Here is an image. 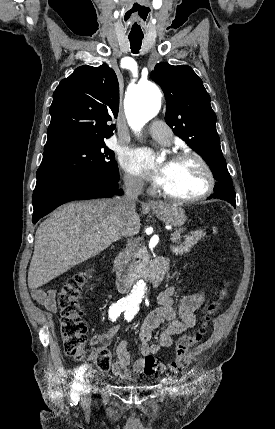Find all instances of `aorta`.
Segmentation results:
<instances>
[{
  "label": "aorta",
  "instance_id": "1",
  "mask_svg": "<svg viewBox=\"0 0 275 429\" xmlns=\"http://www.w3.org/2000/svg\"><path fill=\"white\" fill-rule=\"evenodd\" d=\"M162 94L160 89L152 83L136 86L127 96L125 112L128 123L132 129L138 131L150 119L160 111ZM147 294V287L143 281H139L128 297L130 302L138 304Z\"/></svg>",
  "mask_w": 275,
  "mask_h": 429
}]
</instances>
